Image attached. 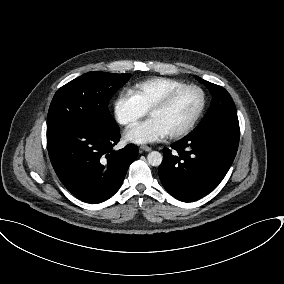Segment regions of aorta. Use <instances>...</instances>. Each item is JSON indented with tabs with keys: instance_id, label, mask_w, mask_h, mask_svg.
Wrapping results in <instances>:
<instances>
[{
	"instance_id": "obj_1",
	"label": "aorta",
	"mask_w": 284,
	"mask_h": 284,
	"mask_svg": "<svg viewBox=\"0 0 284 284\" xmlns=\"http://www.w3.org/2000/svg\"><path fill=\"white\" fill-rule=\"evenodd\" d=\"M163 160V156L158 151H152L147 155V161L152 166H159L161 165Z\"/></svg>"
}]
</instances>
